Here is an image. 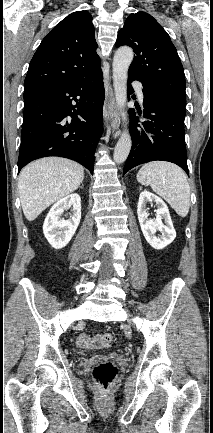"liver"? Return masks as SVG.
Wrapping results in <instances>:
<instances>
[{
	"label": "liver",
	"instance_id": "obj_1",
	"mask_svg": "<svg viewBox=\"0 0 213 433\" xmlns=\"http://www.w3.org/2000/svg\"><path fill=\"white\" fill-rule=\"evenodd\" d=\"M83 179V167L66 158L45 157L25 166L18 188L26 219H36L47 207L77 190Z\"/></svg>",
	"mask_w": 213,
	"mask_h": 433
}]
</instances>
